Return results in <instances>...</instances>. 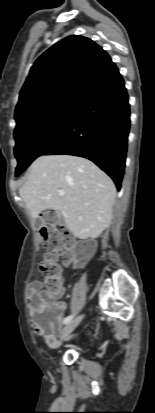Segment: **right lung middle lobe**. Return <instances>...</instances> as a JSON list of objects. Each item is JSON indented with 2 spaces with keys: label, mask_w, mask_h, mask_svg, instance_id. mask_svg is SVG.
I'll return each mask as SVG.
<instances>
[{
  "label": "right lung middle lobe",
  "mask_w": 155,
  "mask_h": 413,
  "mask_svg": "<svg viewBox=\"0 0 155 413\" xmlns=\"http://www.w3.org/2000/svg\"><path fill=\"white\" fill-rule=\"evenodd\" d=\"M77 104H65L22 124L14 131L16 176L62 134Z\"/></svg>",
  "instance_id": "right-lung-middle-lobe-1"
}]
</instances>
